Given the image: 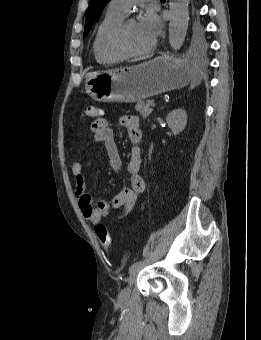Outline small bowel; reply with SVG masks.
Wrapping results in <instances>:
<instances>
[{"mask_svg":"<svg viewBox=\"0 0 261 340\" xmlns=\"http://www.w3.org/2000/svg\"><path fill=\"white\" fill-rule=\"evenodd\" d=\"M121 125L126 129L128 137L132 143L130 157L127 162V171L130 174V187L123 189L117 194L111 203L106 201L93 202L92 197L87 192V181L83 172L82 164L74 161L72 164V174L75 179V194L83 216L93 224H97L102 218L107 216L111 209L119 210V218L127 216L134 208L139 195L145 189V182L139 174L141 166V130L139 120L135 116H123L120 119ZM95 140L101 143L106 151L108 164L111 169L120 167L121 159L118 146L115 140L114 131L109 126L106 118L98 117L91 124Z\"/></svg>","mask_w":261,"mask_h":340,"instance_id":"1","label":"small bowel"}]
</instances>
